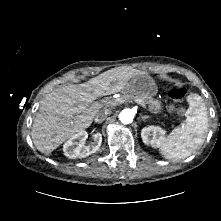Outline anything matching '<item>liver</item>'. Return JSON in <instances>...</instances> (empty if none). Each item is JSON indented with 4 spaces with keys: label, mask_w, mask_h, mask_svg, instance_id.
<instances>
[{
    "label": "liver",
    "mask_w": 221,
    "mask_h": 221,
    "mask_svg": "<svg viewBox=\"0 0 221 221\" xmlns=\"http://www.w3.org/2000/svg\"><path fill=\"white\" fill-rule=\"evenodd\" d=\"M134 72L114 68L88 82L57 88L41 101L31 137L37 150L50 155L67 139L88 128L103 105L98 97L121 91Z\"/></svg>",
    "instance_id": "obj_1"
}]
</instances>
